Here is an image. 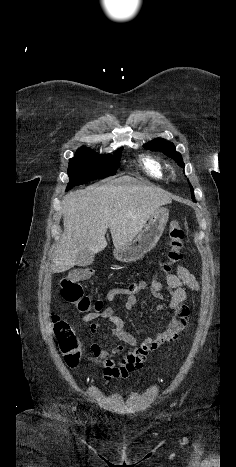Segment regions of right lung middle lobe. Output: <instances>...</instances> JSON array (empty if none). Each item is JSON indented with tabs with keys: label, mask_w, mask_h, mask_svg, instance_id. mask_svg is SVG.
Listing matches in <instances>:
<instances>
[{
	"label": "right lung middle lobe",
	"mask_w": 236,
	"mask_h": 467,
	"mask_svg": "<svg viewBox=\"0 0 236 467\" xmlns=\"http://www.w3.org/2000/svg\"><path fill=\"white\" fill-rule=\"evenodd\" d=\"M121 153L122 148H119L114 156L100 155L86 147L78 149L75 156L69 160L70 182L66 190L88 181L115 175Z\"/></svg>",
	"instance_id": "obj_1"
}]
</instances>
